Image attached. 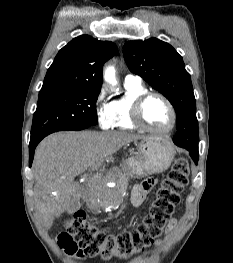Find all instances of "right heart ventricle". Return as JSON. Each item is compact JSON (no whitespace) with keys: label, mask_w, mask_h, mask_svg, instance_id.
<instances>
[{"label":"right heart ventricle","mask_w":233,"mask_h":263,"mask_svg":"<svg viewBox=\"0 0 233 263\" xmlns=\"http://www.w3.org/2000/svg\"><path fill=\"white\" fill-rule=\"evenodd\" d=\"M145 92L147 89L141 82L125 81L123 97L111 102L114 127L118 129H134L137 127L132 121V106L136 98Z\"/></svg>","instance_id":"1"}]
</instances>
